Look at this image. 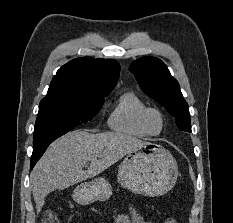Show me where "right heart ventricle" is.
Listing matches in <instances>:
<instances>
[{"mask_svg":"<svg viewBox=\"0 0 233 223\" xmlns=\"http://www.w3.org/2000/svg\"><path fill=\"white\" fill-rule=\"evenodd\" d=\"M146 107L145 101L135 91L122 92L107 114V127L129 137H148L141 125V114Z\"/></svg>","mask_w":233,"mask_h":223,"instance_id":"e07e8e85","label":"right heart ventricle"}]
</instances>
